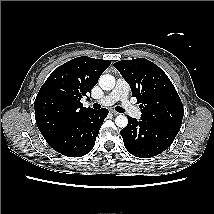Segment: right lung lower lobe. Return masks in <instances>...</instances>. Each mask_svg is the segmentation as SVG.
<instances>
[{
    "label": "right lung lower lobe",
    "mask_w": 214,
    "mask_h": 214,
    "mask_svg": "<svg viewBox=\"0 0 214 214\" xmlns=\"http://www.w3.org/2000/svg\"><path fill=\"white\" fill-rule=\"evenodd\" d=\"M108 113L105 108L88 112L48 141V144L68 157L86 155L93 149L99 129Z\"/></svg>",
    "instance_id": "1"
}]
</instances>
